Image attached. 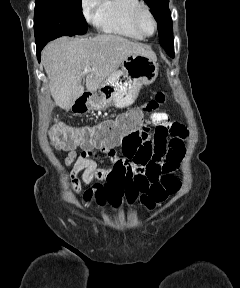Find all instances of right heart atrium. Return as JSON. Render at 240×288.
<instances>
[{
    "instance_id": "d8ad5b80",
    "label": "right heart atrium",
    "mask_w": 240,
    "mask_h": 288,
    "mask_svg": "<svg viewBox=\"0 0 240 288\" xmlns=\"http://www.w3.org/2000/svg\"><path fill=\"white\" fill-rule=\"evenodd\" d=\"M102 0H81V10L88 22L97 23Z\"/></svg>"
}]
</instances>
